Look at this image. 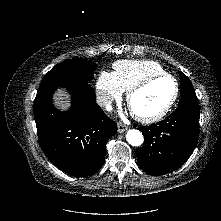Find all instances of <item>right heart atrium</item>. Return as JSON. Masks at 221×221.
<instances>
[{
	"label": "right heart atrium",
	"instance_id": "d8ad5b80",
	"mask_svg": "<svg viewBox=\"0 0 221 221\" xmlns=\"http://www.w3.org/2000/svg\"><path fill=\"white\" fill-rule=\"evenodd\" d=\"M96 89L99 97L105 102L120 98L123 92L113 73L107 71H102L99 74L96 81Z\"/></svg>",
	"mask_w": 221,
	"mask_h": 221
}]
</instances>
